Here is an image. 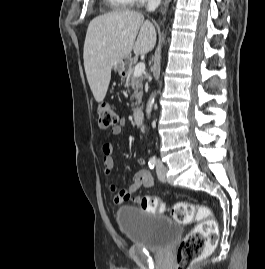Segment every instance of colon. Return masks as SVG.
Segmentation results:
<instances>
[{"label": "colon", "mask_w": 265, "mask_h": 269, "mask_svg": "<svg viewBox=\"0 0 265 269\" xmlns=\"http://www.w3.org/2000/svg\"><path fill=\"white\" fill-rule=\"evenodd\" d=\"M99 126L102 129L118 125V115L109 104H100L97 108ZM143 210L158 213L165 208L164 202L155 196L146 195L137 198ZM172 217L178 223L188 224L197 221L195 227L181 241L176 258V269H189L190 265L200 259L208 247L218 239V226L212 218L211 211L204 206L189 202H178L172 208Z\"/></svg>", "instance_id": "colon-1"}]
</instances>
